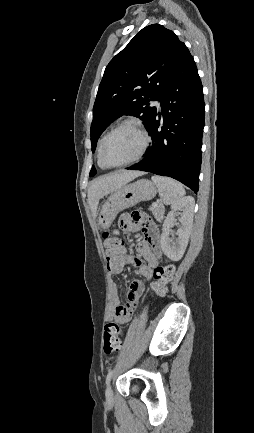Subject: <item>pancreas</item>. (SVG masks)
Returning <instances> with one entry per match:
<instances>
[{
	"mask_svg": "<svg viewBox=\"0 0 254 433\" xmlns=\"http://www.w3.org/2000/svg\"><path fill=\"white\" fill-rule=\"evenodd\" d=\"M149 210L153 213L154 217L157 220H162L163 219V214L165 212V208H164V206L161 203L157 204V206L152 205L149 208Z\"/></svg>",
	"mask_w": 254,
	"mask_h": 433,
	"instance_id": "cf45deb5",
	"label": "pancreas"
}]
</instances>
